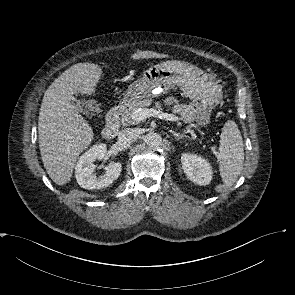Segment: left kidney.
I'll return each instance as SVG.
<instances>
[{"label":"left kidney","instance_id":"obj_1","mask_svg":"<svg viewBox=\"0 0 295 295\" xmlns=\"http://www.w3.org/2000/svg\"><path fill=\"white\" fill-rule=\"evenodd\" d=\"M181 163L187 178L198 185H208L212 180V167L201 156L192 153H183Z\"/></svg>","mask_w":295,"mask_h":295}]
</instances>
